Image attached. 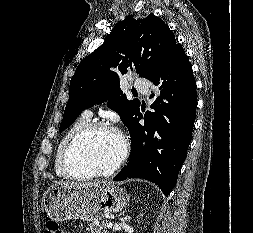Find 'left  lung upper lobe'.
Listing matches in <instances>:
<instances>
[{"mask_svg":"<svg viewBox=\"0 0 253 233\" xmlns=\"http://www.w3.org/2000/svg\"><path fill=\"white\" fill-rule=\"evenodd\" d=\"M176 44L173 32L154 14L120 21L104 43L78 65L59 131L68 128L83 110L106 100L129 129L140 102L125 97L120 77L135 72L150 80L161 71Z\"/></svg>","mask_w":253,"mask_h":233,"instance_id":"left-lung-upper-lobe-1","label":"left lung upper lobe"}]
</instances>
